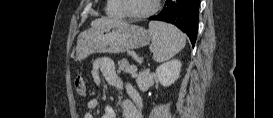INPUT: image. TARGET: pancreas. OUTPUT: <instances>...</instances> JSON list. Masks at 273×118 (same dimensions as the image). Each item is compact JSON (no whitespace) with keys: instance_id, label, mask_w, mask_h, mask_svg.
<instances>
[{"instance_id":"obj_1","label":"pancreas","mask_w":273,"mask_h":118,"mask_svg":"<svg viewBox=\"0 0 273 118\" xmlns=\"http://www.w3.org/2000/svg\"><path fill=\"white\" fill-rule=\"evenodd\" d=\"M118 66L120 70H123L126 73H131L132 75H135L136 67L130 66V64L125 59L118 61Z\"/></svg>"}]
</instances>
